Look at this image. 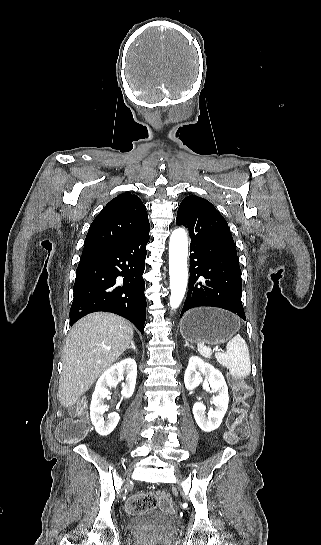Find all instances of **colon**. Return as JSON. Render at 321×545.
Returning a JSON list of instances; mask_svg holds the SVG:
<instances>
[{
  "label": "colon",
  "instance_id": "colon-1",
  "mask_svg": "<svg viewBox=\"0 0 321 545\" xmlns=\"http://www.w3.org/2000/svg\"><path fill=\"white\" fill-rule=\"evenodd\" d=\"M235 395L234 410L228 419V433L226 440L229 443H236L247 438L249 434L246 400L251 394L249 386L241 380H232ZM89 422L84 404L77 405L72 410V417L63 421L57 430L60 441L67 444L78 443L83 440L88 432ZM160 506L166 512L174 511L169 498L162 494L140 493L130 497L126 502V510L129 513H139L145 510H153Z\"/></svg>",
  "mask_w": 321,
  "mask_h": 545
}]
</instances>
